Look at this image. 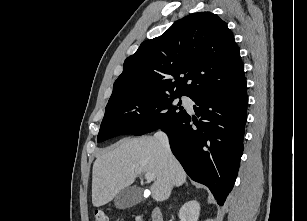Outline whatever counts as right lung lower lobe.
I'll use <instances>...</instances> for the list:
<instances>
[{
	"mask_svg": "<svg viewBox=\"0 0 307 221\" xmlns=\"http://www.w3.org/2000/svg\"><path fill=\"white\" fill-rule=\"evenodd\" d=\"M247 84L193 99L199 123L187 113L161 128L171 150L192 180L206 185L219 205L235 183L247 119ZM192 123L197 128L192 126Z\"/></svg>",
	"mask_w": 307,
	"mask_h": 221,
	"instance_id": "98d812e1",
	"label": "right lung lower lobe"
}]
</instances>
